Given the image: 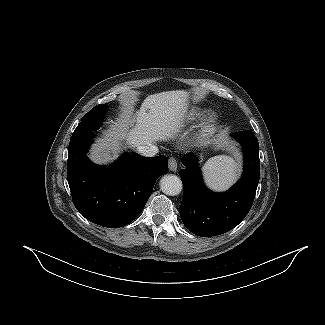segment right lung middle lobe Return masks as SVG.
Here are the masks:
<instances>
[{"label": "right lung middle lobe", "instance_id": "right-lung-middle-lobe-1", "mask_svg": "<svg viewBox=\"0 0 325 325\" xmlns=\"http://www.w3.org/2000/svg\"><path fill=\"white\" fill-rule=\"evenodd\" d=\"M107 110L108 106L106 104L95 106L81 119L74 132L84 134L98 129Z\"/></svg>", "mask_w": 325, "mask_h": 325}]
</instances>
